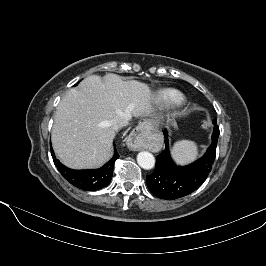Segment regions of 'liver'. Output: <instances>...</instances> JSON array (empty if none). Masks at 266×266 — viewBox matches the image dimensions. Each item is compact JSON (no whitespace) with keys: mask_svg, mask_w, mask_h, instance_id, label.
Here are the masks:
<instances>
[{"mask_svg":"<svg viewBox=\"0 0 266 266\" xmlns=\"http://www.w3.org/2000/svg\"><path fill=\"white\" fill-rule=\"evenodd\" d=\"M153 94L145 83L116 74L91 75L70 89L54 115L52 145L58 158L75 169L99 167L113 153L112 119L150 116Z\"/></svg>","mask_w":266,"mask_h":266,"instance_id":"6515ba94","label":"liver"}]
</instances>
